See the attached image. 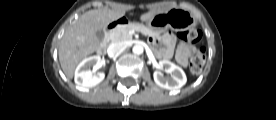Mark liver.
I'll return each mask as SVG.
<instances>
[{
	"mask_svg": "<svg viewBox=\"0 0 276 120\" xmlns=\"http://www.w3.org/2000/svg\"><path fill=\"white\" fill-rule=\"evenodd\" d=\"M164 10H152L141 15L146 21ZM125 15L124 10L97 9L84 13L64 34L59 50V61L64 74L71 79L77 64L94 53L100 45L96 32Z\"/></svg>",
	"mask_w": 276,
	"mask_h": 120,
	"instance_id": "liver-1",
	"label": "liver"
}]
</instances>
